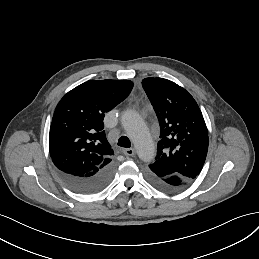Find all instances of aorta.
Here are the masks:
<instances>
[{
	"label": "aorta",
	"mask_w": 259,
	"mask_h": 259,
	"mask_svg": "<svg viewBox=\"0 0 259 259\" xmlns=\"http://www.w3.org/2000/svg\"><path fill=\"white\" fill-rule=\"evenodd\" d=\"M122 125L131 138L142 161L149 162L155 156V146L151 135L140 115L128 110L122 115Z\"/></svg>",
	"instance_id": "1"
}]
</instances>
